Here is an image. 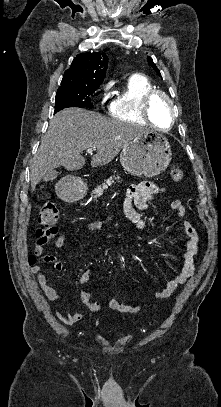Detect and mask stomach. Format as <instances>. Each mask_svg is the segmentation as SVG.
<instances>
[{
  "label": "stomach",
  "mask_w": 221,
  "mask_h": 407,
  "mask_svg": "<svg viewBox=\"0 0 221 407\" xmlns=\"http://www.w3.org/2000/svg\"><path fill=\"white\" fill-rule=\"evenodd\" d=\"M172 157L166 137L154 131H146L133 138L121 151L120 162L124 170L138 177H153L164 171ZM87 186L78 178H72L62 190L67 202L81 200Z\"/></svg>",
  "instance_id": "stomach-1"
}]
</instances>
